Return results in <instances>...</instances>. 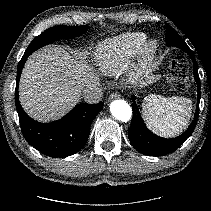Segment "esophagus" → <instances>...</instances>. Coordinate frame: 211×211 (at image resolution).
<instances>
[{
    "label": "esophagus",
    "mask_w": 211,
    "mask_h": 211,
    "mask_svg": "<svg viewBox=\"0 0 211 211\" xmlns=\"http://www.w3.org/2000/svg\"><path fill=\"white\" fill-rule=\"evenodd\" d=\"M119 94L118 93H112L110 96H109V100H113V99H117L119 98Z\"/></svg>",
    "instance_id": "obj_1"
}]
</instances>
